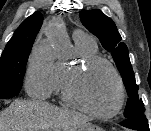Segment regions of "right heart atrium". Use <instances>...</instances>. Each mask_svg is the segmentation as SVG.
I'll return each instance as SVG.
<instances>
[{
    "label": "right heart atrium",
    "mask_w": 151,
    "mask_h": 131,
    "mask_svg": "<svg viewBox=\"0 0 151 131\" xmlns=\"http://www.w3.org/2000/svg\"><path fill=\"white\" fill-rule=\"evenodd\" d=\"M57 62L49 52L35 50L31 54L25 73V88L34 98L45 99L55 89Z\"/></svg>",
    "instance_id": "right-heart-atrium-1"
}]
</instances>
